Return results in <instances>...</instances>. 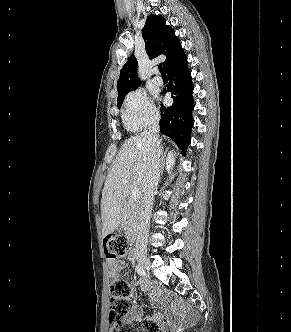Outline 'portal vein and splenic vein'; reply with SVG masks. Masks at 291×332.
<instances>
[{
    "instance_id": "obj_1",
    "label": "portal vein and splenic vein",
    "mask_w": 291,
    "mask_h": 332,
    "mask_svg": "<svg viewBox=\"0 0 291 332\" xmlns=\"http://www.w3.org/2000/svg\"><path fill=\"white\" fill-rule=\"evenodd\" d=\"M126 183V182H125ZM141 197V192L139 190H132L130 192V198L133 200V201H136L138 199H140Z\"/></svg>"
}]
</instances>
